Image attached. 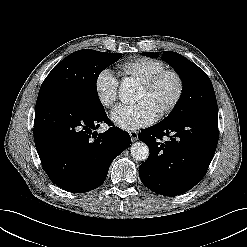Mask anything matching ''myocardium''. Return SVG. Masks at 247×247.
<instances>
[{
    "mask_svg": "<svg viewBox=\"0 0 247 247\" xmlns=\"http://www.w3.org/2000/svg\"><path fill=\"white\" fill-rule=\"evenodd\" d=\"M166 75H171L176 79L177 91H176L173 99L171 100V102L158 113L159 118H163V117H166L169 114H171L176 109L178 104L180 103V101L184 95V91H185V83H184V79H183L182 75L178 71L173 70V69H163V70L156 72L153 75L145 78L144 80L140 81V85L144 89H150L162 77H164Z\"/></svg>",
    "mask_w": 247,
    "mask_h": 247,
    "instance_id": "obj_1",
    "label": "myocardium"
}]
</instances>
